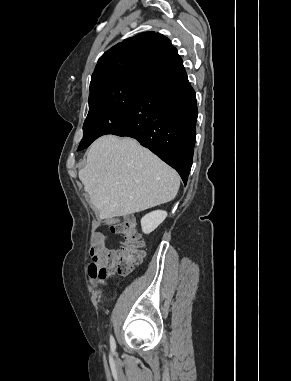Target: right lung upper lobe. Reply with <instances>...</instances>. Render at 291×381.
Returning a JSON list of instances; mask_svg holds the SVG:
<instances>
[{
    "instance_id": "1",
    "label": "right lung upper lobe",
    "mask_w": 291,
    "mask_h": 381,
    "mask_svg": "<svg viewBox=\"0 0 291 381\" xmlns=\"http://www.w3.org/2000/svg\"><path fill=\"white\" fill-rule=\"evenodd\" d=\"M178 58L177 49L159 33L144 32L125 39L99 58L91 78L90 95L129 79H144Z\"/></svg>"
}]
</instances>
